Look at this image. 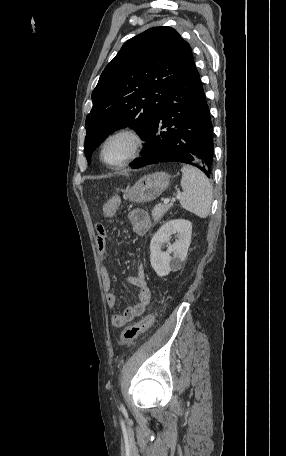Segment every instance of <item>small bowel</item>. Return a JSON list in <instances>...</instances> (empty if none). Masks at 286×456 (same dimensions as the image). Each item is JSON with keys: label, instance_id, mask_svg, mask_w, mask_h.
<instances>
[{"label": "small bowel", "instance_id": "small-bowel-1", "mask_svg": "<svg viewBox=\"0 0 286 456\" xmlns=\"http://www.w3.org/2000/svg\"><path fill=\"white\" fill-rule=\"evenodd\" d=\"M117 205L107 203L103 208L105 217H112L116 212ZM128 219L132 223L134 232L137 235L146 234L151 226L149 215L142 209L135 208L128 213ZM108 233L103 224L96 225V245L100 257L103 259L107 251ZM128 281L139 289V301L132 306L127 307L122 312L116 313L111 318L113 327L120 328L127 322L141 316L150 301L151 291L147 283L146 267L140 263L135 274L128 277ZM102 283L107 291L106 302L108 307L113 308L117 303V296L110 292L112 287V278L105 266L102 268Z\"/></svg>", "mask_w": 286, "mask_h": 456}]
</instances>
